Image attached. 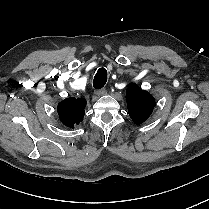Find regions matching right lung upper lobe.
<instances>
[{"mask_svg":"<svg viewBox=\"0 0 209 209\" xmlns=\"http://www.w3.org/2000/svg\"><path fill=\"white\" fill-rule=\"evenodd\" d=\"M86 99L84 98H66L58 104L57 111L61 122L73 128L78 125L84 117V108Z\"/></svg>","mask_w":209,"mask_h":209,"instance_id":"obj_1","label":"right lung upper lobe"}]
</instances>
